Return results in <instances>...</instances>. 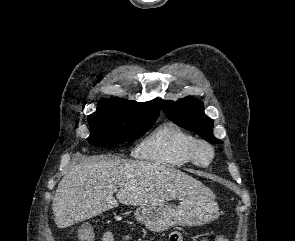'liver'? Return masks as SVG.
Wrapping results in <instances>:
<instances>
[{"mask_svg": "<svg viewBox=\"0 0 295 241\" xmlns=\"http://www.w3.org/2000/svg\"><path fill=\"white\" fill-rule=\"evenodd\" d=\"M209 191L202 182L172 166L95 156L65 173L52 209L57 227L67 228L117 207L118 201L140 206L162 204Z\"/></svg>", "mask_w": 295, "mask_h": 241, "instance_id": "liver-1", "label": "liver"}]
</instances>
